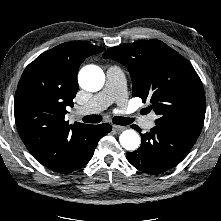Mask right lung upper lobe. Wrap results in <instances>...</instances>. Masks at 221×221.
<instances>
[{
    "label": "right lung upper lobe",
    "mask_w": 221,
    "mask_h": 221,
    "mask_svg": "<svg viewBox=\"0 0 221 221\" xmlns=\"http://www.w3.org/2000/svg\"><path fill=\"white\" fill-rule=\"evenodd\" d=\"M104 51L82 41L60 44L24 70L15 94V122L28 151L42 164L59 161L75 137L91 125L64 120L78 91L77 74L85 58Z\"/></svg>",
    "instance_id": "obj_1"
}]
</instances>
